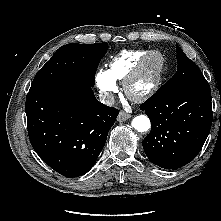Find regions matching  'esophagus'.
Here are the masks:
<instances>
[{"mask_svg": "<svg viewBox=\"0 0 221 221\" xmlns=\"http://www.w3.org/2000/svg\"><path fill=\"white\" fill-rule=\"evenodd\" d=\"M131 117L130 114L124 112V111H121L117 117V120L122 122V121H126L128 120L129 118Z\"/></svg>", "mask_w": 221, "mask_h": 221, "instance_id": "34e87169", "label": "esophagus"}]
</instances>
